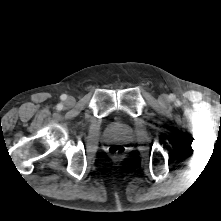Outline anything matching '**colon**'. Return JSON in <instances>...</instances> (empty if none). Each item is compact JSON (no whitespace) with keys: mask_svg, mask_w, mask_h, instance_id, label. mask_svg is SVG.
Segmentation results:
<instances>
[{"mask_svg":"<svg viewBox=\"0 0 221 221\" xmlns=\"http://www.w3.org/2000/svg\"><path fill=\"white\" fill-rule=\"evenodd\" d=\"M125 151V148L120 144H113L109 147L108 152L110 155L118 157L121 156Z\"/></svg>","mask_w":221,"mask_h":221,"instance_id":"obj_1","label":"colon"}]
</instances>
